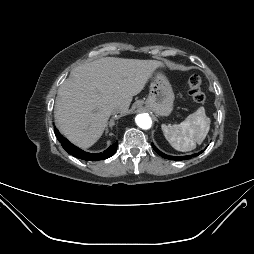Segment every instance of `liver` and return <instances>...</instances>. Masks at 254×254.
I'll return each mask as SVG.
<instances>
[{
    "mask_svg": "<svg viewBox=\"0 0 254 254\" xmlns=\"http://www.w3.org/2000/svg\"><path fill=\"white\" fill-rule=\"evenodd\" d=\"M156 60L105 57L82 64L59 87L54 117L60 132L81 148L101 137L114 107L126 114L133 96L160 67Z\"/></svg>",
    "mask_w": 254,
    "mask_h": 254,
    "instance_id": "liver-1",
    "label": "liver"
}]
</instances>
